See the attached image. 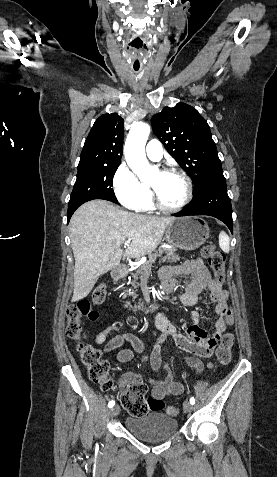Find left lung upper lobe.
Segmentation results:
<instances>
[{"instance_id": "5c2ea615", "label": "left lung upper lobe", "mask_w": 277, "mask_h": 477, "mask_svg": "<svg viewBox=\"0 0 277 477\" xmlns=\"http://www.w3.org/2000/svg\"><path fill=\"white\" fill-rule=\"evenodd\" d=\"M154 133L192 179L195 190L210 173L222 170L206 120L190 105L177 103L152 117Z\"/></svg>"}]
</instances>
